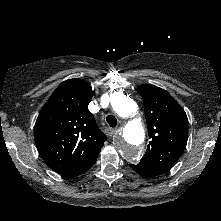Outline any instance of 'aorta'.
I'll list each match as a JSON object with an SVG mask.
<instances>
[{"label": "aorta", "mask_w": 221, "mask_h": 221, "mask_svg": "<svg viewBox=\"0 0 221 221\" xmlns=\"http://www.w3.org/2000/svg\"><path fill=\"white\" fill-rule=\"evenodd\" d=\"M111 106L118 116L128 120L117 136V148L123 157L131 162L139 159L145 138L141 120H129L137 112V104L128 96L117 92L111 96Z\"/></svg>", "instance_id": "aorta-1"}]
</instances>
